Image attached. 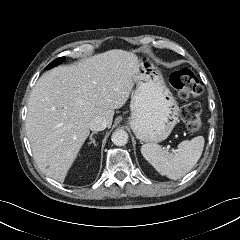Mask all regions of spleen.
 Instances as JSON below:
<instances>
[{
    "label": "spleen",
    "instance_id": "3e777b00",
    "mask_svg": "<svg viewBox=\"0 0 240 240\" xmlns=\"http://www.w3.org/2000/svg\"><path fill=\"white\" fill-rule=\"evenodd\" d=\"M204 143L203 136L184 140L179 143L175 154L163 150L158 144L147 143L142 145L141 153L161 175L177 180L196 165L202 155Z\"/></svg>",
    "mask_w": 240,
    "mask_h": 240
}]
</instances>
